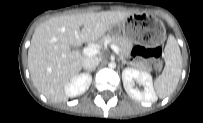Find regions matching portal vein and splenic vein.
<instances>
[{
    "instance_id": "obj_1",
    "label": "portal vein and splenic vein",
    "mask_w": 203,
    "mask_h": 123,
    "mask_svg": "<svg viewBox=\"0 0 203 123\" xmlns=\"http://www.w3.org/2000/svg\"><path fill=\"white\" fill-rule=\"evenodd\" d=\"M110 48L115 52V53H119V48L114 45V44H111L110 45ZM99 52V50L97 48H93V47H85L83 49V54L86 55V56H94L96 55L97 53Z\"/></svg>"
}]
</instances>
